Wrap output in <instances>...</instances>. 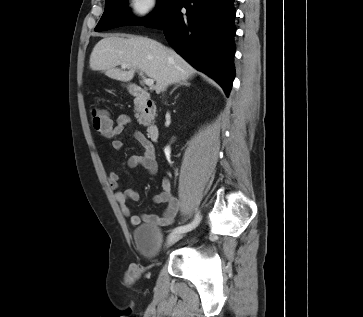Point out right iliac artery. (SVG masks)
I'll use <instances>...</instances> for the list:
<instances>
[{"label":"right iliac artery","instance_id":"1","mask_svg":"<svg viewBox=\"0 0 363 317\" xmlns=\"http://www.w3.org/2000/svg\"><path fill=\"white\" fill-rule=\"evenodd\" d=\"M200 222V216L199 214L196 215V218L194 219V221L190 224L184 225V226H179L176 227L173 232H187L192 230L193 228H195L198 223Z\"/></svg>","mask_w":363,"mask_h":317}]
</instances>
